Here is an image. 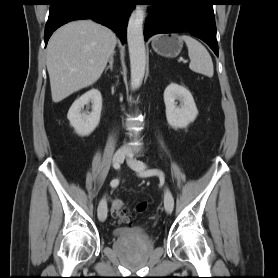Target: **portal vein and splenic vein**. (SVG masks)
<instances>
[{"mask_svg":"<svg viewBox=\"0 0 278 278\" xmlns=\"http://www.w3.org/2000/svg\"><path fill=\"white\" fill-rule=\"evenodd\" d=\"M180 60H181V61H183L184 63H186V62H187V60H184L183 58H181Z\"/></svg>","mask_w":278,"mask_h":278,"instance_id":"obj_1","label":"portal vein and splenic vein"}]
</instances>
